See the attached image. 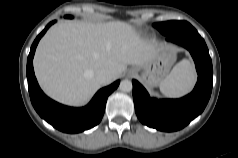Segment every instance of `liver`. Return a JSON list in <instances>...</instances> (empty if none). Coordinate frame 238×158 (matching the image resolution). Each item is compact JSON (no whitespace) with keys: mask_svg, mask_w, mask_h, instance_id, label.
Returning <instances> with one entry per match:
<instances>
[{"mask_svg":"<svg viewBox=\"0 0 238 158\" xmlns=\"http://www.w3.org/2000/svg\"><path fill=\"white\" fill-rule=\"evenodd\" d=\"M158 49V42L142 39L123 21H66L41 39L34 70L46 94L61 103L79 106L100 88L95 78L98 70H109L111 81L115 80L128 65H143Z\"/></svg>","mask_w":238,"mask_h":158,"instance_id":"6515ba94","label":"liver"}]
</instances>
